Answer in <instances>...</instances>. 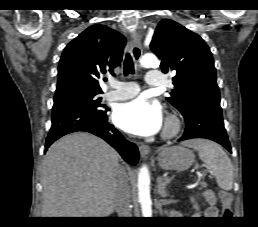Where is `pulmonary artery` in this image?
Here are the masks:
<instances>
[{
    "instance_id": "pulmonary-artery-1",
    "label": "pulmonary artery",
    "mask_w": 258,
    "mask_h": 227,
    "mask_svg": "<svg viewBox=\"0 0 258 227\" xmlns=\"http://www.w3.org/2000/svg\"><path fill=\"white\" fill-rule=\"evenodd\" d=\"M146 82L150 86L160 87L164 84L162 74L160 71L151 70L146 75ZM111 90L104 94V99L107 101H122L130 99L136 96L140 88L135 82H121V81H111Z\"/></svg>"
}]
</instances>
